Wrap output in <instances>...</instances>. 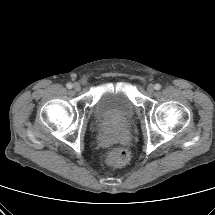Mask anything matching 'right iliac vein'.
<instances>
[{"instance_id": "right-iliac-vein-1", "label": "right iliac vein", "mask_w": 215, "mask_h": 215, "mask_svg": "<svg viewBox=\"0 0 215 215\" xmlns=\"http://www.w3.org/2000/svg\"><path fill=\"white\" fill-rule=\"evenodd\" d=\"M73 88H74L75 91H80V90H81V86H80V84H78V83H75V84L73 85Z\"/></svg>"}]
</instances>
